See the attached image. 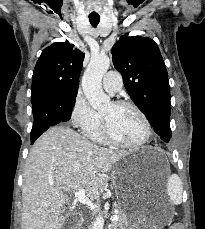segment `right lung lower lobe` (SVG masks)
Wrapping results in <instances>:
<instances>
[{
    "label": "right lung lower lobe",
    "instance_id": "obj_1",
    "mask_svg": "<svg viewBox=\"0 0 205 229\" xmlns=\"http://www.w3.org/2000/svg\"><path fill=\"white\" fill-rule=\"evenodd\" d=\"M76 99L68 94L49 95L33 103L34 123L31 130V144L50 126L68 121Z\"/></svg>",
    "mask_w": 205,
    "mask_h": 229
}]
</instances>
